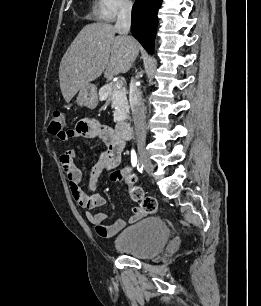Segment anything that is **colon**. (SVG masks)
I'll return each instance as SVG.
<instances>
[{
    "mask_svg": "<svg viewBox=\"0 0 261 306\" xmlns=\"http://www.w3.org/2000/svg\"><path fill=\"white\" fill-rule=\"evenodd\" d=\"M49 131L51 134H54L59 138L65 137L67 130H65V117L61 111H53L49 124ZM112 180L124 182L130 186L131 198L139 203V208L142 210V212L153 214L158 211V203L156 199L151 196H146L136 185V176L129 168H123L115 171L112 174Z\"/></svg>",
    "mask_w": 261,
    "mask_h": 306,
    "instance_id": "5ec220e1",
    "label": "colon"
}]
</instances>
